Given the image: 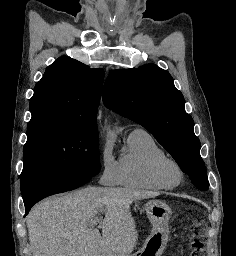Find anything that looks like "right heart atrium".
<instances>
[{"instance_id":"d8ad5b80","label":"right heart atrium","mask_w":236,"mask_h":256,"mask_svg":"<svg viewBox=\"0 0 236 256\" xmlns=\"http://www.w3.org/2000/svg\"><path fill=\"white\" fill-rule=\"evenodd\" d=\"M101 176L100 182L105 186L122 184L120 160L113 155L108 144H105L100 153Z\"/></svg>"}]
</instances>
